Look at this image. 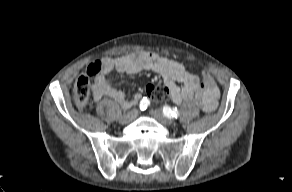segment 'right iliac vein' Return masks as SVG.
Returning a JSON list of instances; mask_svg holds the SVG:
<instances>
[{
    "label": "right iliac vein",
    "instance_id": "obj_1",
    "mask_svg": "<svg viewBox=\"0 0 292 192\" xmlns=\"http://www.w3.org/2000/svg\"><path fill=\"white\" fill-rule=\"evenodd\" d=\"M137 115H138V110L132 109L131 111H129L125 115L121 116L119 119V122L122 124L129 123V122L133 121L137 117Z\"/></svg>",
    "mask_w": 292,
    "mask_h": 192
}]
</instances>
